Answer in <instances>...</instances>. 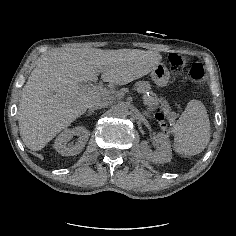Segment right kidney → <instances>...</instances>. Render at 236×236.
Here are the masks:
<instances>
[{"label":"right kidney","instance_id":"ca27d5eb","mask_svg":"<svg viewBox=\"0 0 236 236\" xmlns=\"http://www.w3.org/2000/svg\"><path fill=\"white\" fill-rule=\"evenodd\" d=\"M74 136L77 137V140L67 145ZM89 136L90 131L82 126L65 130L56 138L54 148L64 156L78 155L85 147Z\"/></svg>","mask_w":236,"mask_h":236}]
</instances>
